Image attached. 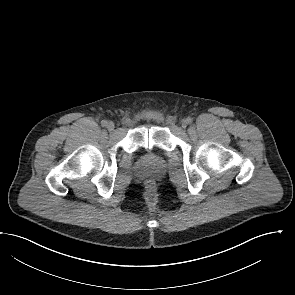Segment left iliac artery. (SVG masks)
I'll list each match as a JSON object with an SVG mask.
<instances>
[{
	"label": "left iliac artery",
	"instance_id": "44dca946",
	"mask_svg": "<svg viewBox=\"0 0 295 295\" xmlns=\"http://www.w3.org/2000/svg\"><path fill=\"white\" fill-rule=\"evenodd\" d=\"M187 122L190 124V123L193 122V119H192L191 117H188V118H187Z\"/></svg>",
	"mask_w": 295,
	"mask_h": 295
}]
</instances>
